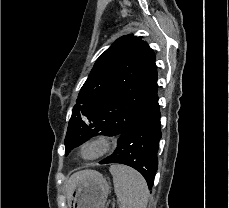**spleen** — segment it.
I'll return each mask as SVG.
<instances>
[{"label": "spleen", "instance_id": "3e777b00", "mask_svg": "<svg viewBox=\"0 0 229 208\" xmlns=\"http://www.w3.org/2000/svg\"><path fill=\"white\" fill-rule=\"evenodd\" d=\"M115 194L122 208H147V184L136 170L129 166H110Z\"/></svg>", "mask_w": 229, "mask_h": 208}]
</instances>
